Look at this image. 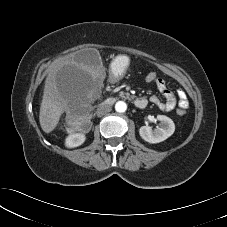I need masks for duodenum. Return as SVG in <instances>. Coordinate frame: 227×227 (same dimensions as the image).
I'll return each mask as SVG.
<instances>
[{"label":"duodenum","instance_id":"410a0bca","mask_svg":"<svg viewBox=\"0 0 227 227\" xmlns=\"http://www.w3.org/2000/svg\"><path fill=\"white\" fill-rule=\"evenodd\" d=\"M114 102L113 99H109L105 102L106 105H111L112 103ZM134 105L137 107V108H145L148 104V101L147 99L143 98V97H137L134 99Z\"/></svg>","mask_w":227,"mask_h":227}]
</instances>
